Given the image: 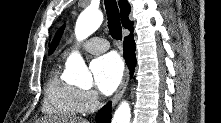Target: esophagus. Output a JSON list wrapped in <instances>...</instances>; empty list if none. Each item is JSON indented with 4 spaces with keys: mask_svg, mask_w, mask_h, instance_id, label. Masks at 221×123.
I'll list each match as a JSON object with an SVG mask.
<instances>
[{
    "mask_svg": "<svg viewBox=\"0 0 221 123\" xmlns=\"http://www.w3.org/2000/svg\"><path fill=\"white\" fill-rule=\"evenodd\" d=\"M128 81H129V70L127 69L125 71V74L123 76V79L120 83L118 90L116 91L115 95L112 98V105H115L119 101V99L122 97V95L124 94L126 90Z\"/></svg>",
    "mask_w": 221,
    "mask_h": 123,
    "instance_id": "obj_1",
    "label": "esophagus"
}]
</instances>
